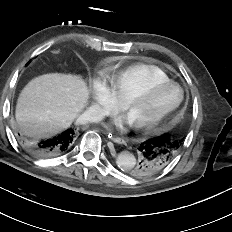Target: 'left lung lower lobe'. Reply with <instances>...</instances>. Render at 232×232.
<instances>
[{
	"label": "left lung lower lobe",
	"mask_w": 232,
	"mask_h": 232,
	"mask_svg": "<svg viewBox=\"0 0 232 232\" xmlns=\"http://www.w3.org/2000/svg\"><path fill=\"white\" fill-rule=\"evenodd\" d=\"M182 140L171 141L166 135L149 139L139 146L140 161L131 171L136 177L150 176L163 169L175 156Z\"/></svg>",
	"instance_id": "0a47b994"
}]
</instances>
